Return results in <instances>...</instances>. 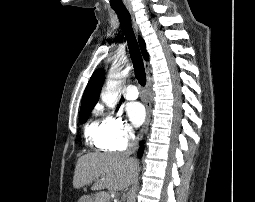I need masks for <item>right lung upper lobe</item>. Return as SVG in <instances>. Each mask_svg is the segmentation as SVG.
<instances>
[{
  "label": "right lung upper lobe",
  "mask_w": 255,
  "mask_h": 202,
  "mask_svg": "<svg viewBox=\"0 0 255 202\" xmlns=\"http://www.w3.org/2000/svg\"><path fill=\"white\" fill-rule=\"evenodd\" d=\"M139 45H140L143 57L146 60H148L149 55L146 51L145 42L140 37H139ZM104 76H105V72L103 69H98L92 74L82 97L81 108L95 106V104L97 103L99 99V94L104 82Z\"/></svg>",
  "instance_id": "right-lung-upper-lobe-1"
}]
</instances>
